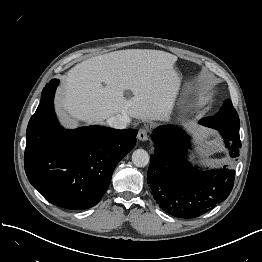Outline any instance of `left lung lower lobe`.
<instances>
[{"instance_id":"1","label":"left lung lower lobe","mask_w":262,"mask_h":262,"mask_svg":"<svg viewBox=\"0 0 262 262\" xmlns=\"http://www.w3.org/2000/svg\"><path fill=\"white\" fill-rule=\"evenodd\" d=\"M217 130L230 157L237 158L241 148L239 131ZM152 139L155 150L150 156L147 183L162 210L179 218H195L229 196L235 170L226 166L208 170L193 165L188 160L191 145L184 132L174 126H160L153 131Z\"/></svg>"}]
</instances>
